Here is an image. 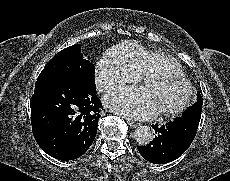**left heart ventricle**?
I'll list each match as a JSON object with an SVG mask.
<instances>
[{
    "mask_svg": "<svg viewBox=\"0 0 230 181\" xmlns=\"http://www.w3.org/2000/svg\"><path fill=\"white\" fill-rule=\"evenodd\" d=\"M186 87L179 81L152 80L141 92L147 102L156 110L170 109L183 99Z\"/></svg>",
    "mask_w": 230,
    "mask_h": 181,
    "instance_id": "b2bd125f",
    "label": "left heart ventricle"
}]
</instances>
